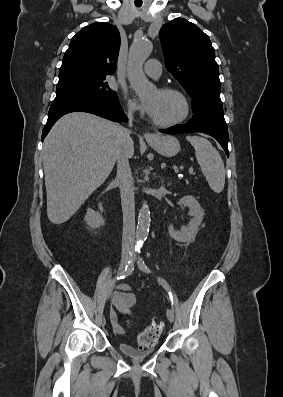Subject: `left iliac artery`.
<instances>
[{"instance_id": "obj_1", "label": "left iliac artery", "mask_w": 283, "mask_h": 397, "mask_svg": "<svg viewBox=\"0 0 283 397\" xmlns=\"http://www.w3.org/2000/svg\"><path fill=\"white\" fill-rule=\"evenodd\" d=\"M138 267L143 272L150 273L149 268L147 267V265L145 264L144 260L140 256L138 257ZM158 281L166 289V291L168 292L169 298H170V302H171V306L173 308L174 299H173V294L171 292V289H170L168 283L165 280L161 279V278H158Z\"/></svg>"}]
</instances>
